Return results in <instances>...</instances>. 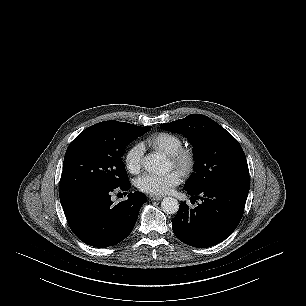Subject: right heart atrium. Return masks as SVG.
Returning a JSON list of instances; mask_svg holds the SVG:
<instances>
[{
    "label": "right heart atrium",
    "mask_w": 306,
    "mask_h": 306,
    "mask_svg": "<svg viewBox=\"0 0 306 306\" xmlns=\"http://www.w3.org/2000/svg\"><path fill=\"white\" fill-rule=\"evenodd\" d=\"M143 146L141 144L131 145L124 157L125 166L132 174H137L142 169Z\"/></svg>",
    "instance_id": "1"
}]
</instances>
